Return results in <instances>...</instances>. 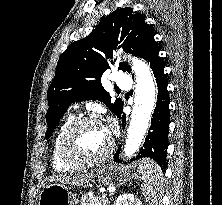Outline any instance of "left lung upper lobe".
Listing matches in <instances>:
<instances>
[{
	"instance_id": "obj_1",
	"label": "left lung upper lobe",
	"mask_w": 222,
	"mask_h": 205,
	"mask_svg": "<svg viewBox=\"0 0 222 205\" xmlns=\"http://www.w3.org/2000/svg\"><path fill=\"white\" fill-rule=\"evenodd\" d=\"M153 33L143 14L132 8H122L104 17L86 38L69 45L60 56L55 78L48 89L46 139L75 101L100 100L118 116L123 101L118 98L111 103V96L100 81L104 71L109 68L107 59L113 57V49L117 47L139 57ZM119 69L131 71L126 62L120 63Z\"/></svg>"
}]
</instances>
